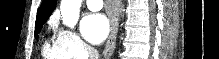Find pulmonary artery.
Returning <instances> with one entry per match:
<instances>
[{
    "instance_id": "obj_1",
    "label": "pulmonary artery",
    "mask_w": 219,
    "mask_h": 59,
    "mask_svg": "<svg viewBox=\"0 0 219 59\" xmlns=\"http://www.w3.org/2000/svg\"><path fill=\"white\" fill-rule=\"evenodd\" d=\"M86 4L92 11L100 10L103 7L101 0H86Z\"/></svg>"
}]
</instances>
